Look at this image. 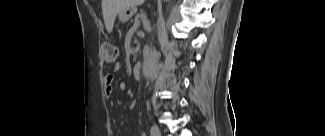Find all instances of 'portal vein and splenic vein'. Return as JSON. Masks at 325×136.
<instances>
[{
    "mask_svg": "<svg viewBox=\"0 0 325 136\" xmlns=\"http://www.w3.org/2000/svg\"><path fill=\"white\" fill-rule=\"evenodd\" d=\"M140 24L139 20H135L134 26H138Z\"/></svg>",
    "mask_w": 325,
    "mask_h": 136,
    "instance_id": "obj_1",
    "label": "portal vein and splenic vein"
}]
</instances>
